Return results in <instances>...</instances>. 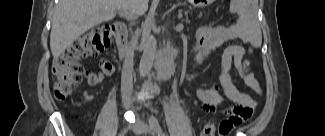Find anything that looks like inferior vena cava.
Wrapping results in <instances>:
<instances>
[{"mask_svg":"<svg viewBox=\"0 0 325 136\" xmlns=\"http://www.w3.org/2000/svg\"><path fill=\"white\" fill-rule=\"evenodd\" d=\"M132 2H136L135 0H126L125 9H128L129 4H134ZM132 71H133V60H132V53L129 52L127 58L125 59L123 68H122V75H121V88L122 94L125 97H129L133 90V78H132Z\"/></svg>","mask_w":325,"mask_h":136,"instance_id":"obj_1","label":"inferior vena cava"}]
</instances>
